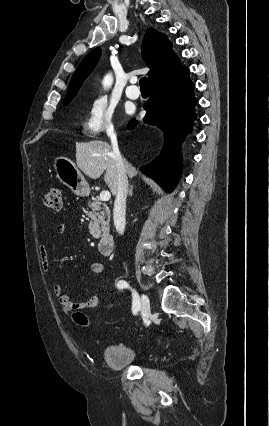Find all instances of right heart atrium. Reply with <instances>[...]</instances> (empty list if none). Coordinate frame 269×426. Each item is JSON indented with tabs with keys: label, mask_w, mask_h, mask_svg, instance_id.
I'll list each match as a JSON object with an SVG mask.
<instances>
[{
	"label": "right heart atrium",
	"mask_w": 269,
	"mask_h": 426,
	"mask_svg": "<svg viewBox=\"0 0 269 426\" xmlns=\"http://www.w3.org/2000/svg\"><path fill=\"white\" fill-rule=\"evenodd\" d=\"M114 106L105 96L94 97L87 105L82 131L87 135L111 134L114 131Z\"/></svg>",
	"instance_id": "obj_1"
}]
</instances>
